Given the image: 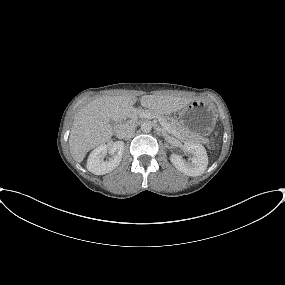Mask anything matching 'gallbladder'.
Wrapping results in <instances>:
<instances>
[{
  "mask_svg": "<svg viewBox=\"0 0 285 285\" xmlns=\"http://www.w3.org/2000/svg\"><path fill=\"white\" fill-rule=\"evenodd\" d=\"M110 125H111V126H114V125H115V122L111 120V121H110Z\"/></svg>",
  "mask_w": 285,
  "mask_h": 285,
  "instance_id": "gallbladder-1",
  "label": "gallbladder"
}]
</instances>
